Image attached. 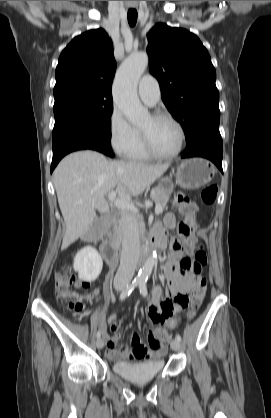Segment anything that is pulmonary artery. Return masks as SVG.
<instances>
[{
    "label": "pulmonary artery",
    "instance_id": "pulmonary-artery-1",
    "mask_svg": "<svg viewBox=\"0 0 271 418\" xmlns=\"http://www.w3.org/2000/svg\"><path fill=\"white\" fill-rule=\"evenodd\" d=\"M140 99L147 105L153 106L160 99V86L152 75H144L138 85Z\"/></svg>",
    "mask_w": 271,
    "mask_h": 418
}]
</instances>
